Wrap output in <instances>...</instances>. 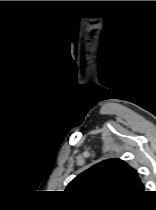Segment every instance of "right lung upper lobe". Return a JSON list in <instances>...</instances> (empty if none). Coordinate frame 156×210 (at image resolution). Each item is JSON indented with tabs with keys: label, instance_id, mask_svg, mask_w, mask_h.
Wrapping results in <instances>:
<instances>
[{
	"label": "right lung upper lobe",
	"instance_id": "obj_1",
	"mask_svg": "<svg viewBox=\"0 0 156 210\" xmlns=\"http://www.w3.org/2000/svg\"><path fill=\"white\" fill-rule=\"evenodd\" d=\"M67 192L88 200L126 201L144 192L138 173L121 159L104 160L75 177Z\"/></svg>",
	"mask_w": 156,
	"mask_h": 210
}]
</instances>
